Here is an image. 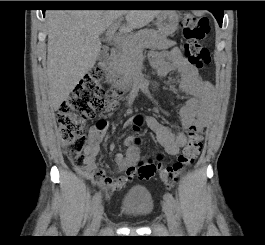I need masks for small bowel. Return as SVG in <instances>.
Returning <instances> with one entry per match:
<instances>
[{
	"label": "small bowel",
	"instance_id": "1",
	"mask_svg": "<svg viewBox=\"0 0 265 245\" xmlns=\"http://www.w3.org/2000/svg\"><path fill=\"white\" fill-rule=\"evenodd\" d=\"M149 62L154 74L159 79L166 78L171 72H177L180 75L179 87L181 92L189 95L179 109L182 130L175 133L155 116L146 117L148 126L156 133L165 151L175 156L187 143L190 131L194 128L203 129L206 125L205 121L199 119V113L209 104L214 89L209 82L200 77L198 69L183 58L180 49L177 47L163 52H151ZM132 104L133 99L130 98L124 112H130ZM132 120L133 118L128 119L124 126L129 127ZM105 130V125L93 127L89 130L84 149L85 163L76 170L83 178L102 187L108 195H111L134 178L133 165L139 158L140 149L134 145L132 137L125 138L123 141L126 149L125 154L118 152L114 155L118 169L125 172V174L119 177L107 176L106 172L99 169L95 163L100 141L105 136ZM110 150H114L113 145Z\"/></svg>",
	"mask_w": 265,
	"mask_h": 245
}]
</instances>
